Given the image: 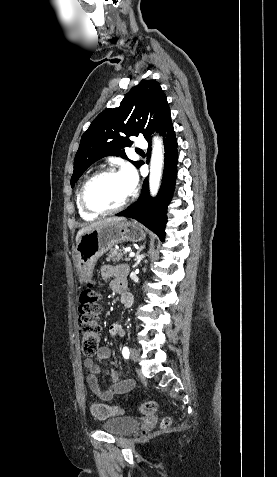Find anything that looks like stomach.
I'll list each match as a JSON object with an SVG mask.
<instances>
[{
    "instance_id": "0dacf381",
    "label": "stomach",
    "mask_w": 277,
    "mask_h": 477,
    "mask_svg": "<svg viewBox=\"0 0 277 477\" xmlns=\"http://www.w3.org/2000/svg\"><path fill=\"white\" fill-rule=\"evenodd\" d=\"M145 238L144 228L136 221L127 220L108 222L84 233L75 248L80 282L90 281L96 261L114 245L125 241L140 242Z\"/></svg>"
}]
</instances>
